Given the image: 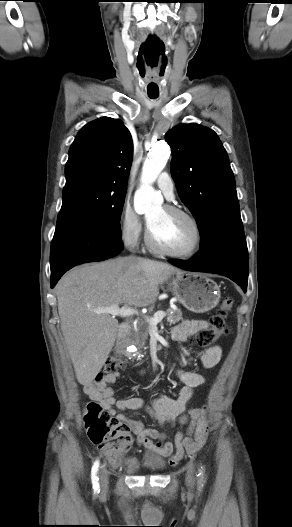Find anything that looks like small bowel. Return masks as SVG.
<instances>
[{
  "mask_svg": "<svg viewBox=\"0 0 292 527\" xmlns=\"http://www.w3.org/2000/svg\"><path fill=\"white\" fill-rule=\"evenodd\" d=\"M207 327L208 323L204 320L187 319L173 329L172 336L177 341H185ZM221 354L222 351L219 346H212L199 353L197 360L203 369L210 370L218 364ZM176 375L184 384L178 396L171 398L166 395H159L150 403H146L139 397L117 400L110 384L117 380L118 373L107 375L100 381L87 384L84 391L90 398L100 402L110 415H114L120 421L125 422L136 435L137 443L140 446L169 457L170 463L176 464L182 458L184 451L188 453L198 451L206 442L209 431L207 409L188 407L195 389L205 383V377L199 373L184 370H177ZM117 409L120 411L144 409L160 426L170 424L174 427L179 424L186 426V429L168 434L147 428L141 421L117 413ZM174 448L176 449L175 453H173Z\"/></svg>",
  "mask_w": 292,
  "mask_h": 527,
  "instance_id": "obj_1",
  "label": "small bowel"
}]
</instances>
